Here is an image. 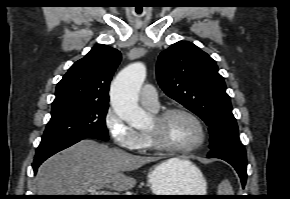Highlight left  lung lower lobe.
I'll use <instances>...</instances> for the list:
<instances>
[{
    "mask_svg": "<svg viewBox=\"0 0 290 199\" xmlns=\"http://www.w3.org/2000/svg\"><path fill=\"white\" fill-rule=\"evenodd\" d=\"M208 158H219L231 164L238 172L242 186H245L247 173V157L243 145H230L220 149L211 150Z\"/></svg>",
    "mask_w": 290,
    "mask_h": 199,
    "instance_id": "obj_1",
    "label": "left lung lower lobe"
}]
</instances>
